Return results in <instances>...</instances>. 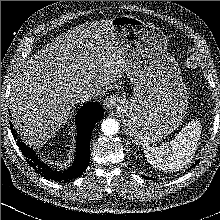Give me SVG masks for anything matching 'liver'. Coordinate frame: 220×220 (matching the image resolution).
Returning <instances> with one entry per match:
<instances>
[{"label":"liver","instance_id":"obj_1","mask_svg":"<svg viewBox=\"0 0 220 220\" xmlns=\"http://www.w3.org/2000/svg\"><path fill=\"white\" fill-rule=\"evenodd\" d=\"M125 57L111 20L80 25L30 57L12 83V121L32 145L66 123L84 91H101L122 77Z\"/></svg>","mask_w":220,"mask_h":220}]
</instances>
